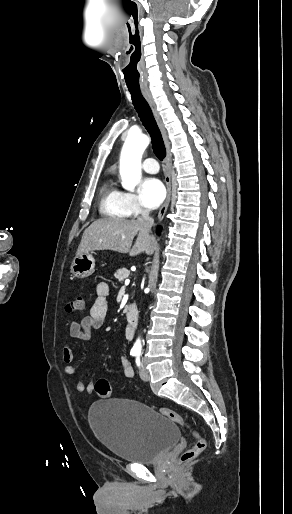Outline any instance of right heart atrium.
<instances>
[{"label":"right heart atrium","mask_w":292,"mask_h":514,"mask_svg":"<svg viewBox=\"0 0 292 514\" xmlns=\"http://www.w3.org/2000/svg\"><path fill=\"white\" fill-rule=\"evenodd\" d=\"M123 202L128 212L138 213L143 211L144 207L139 198L132 192L123 191Z\"/></svg>","instance_id":"1"}]
</instances>
